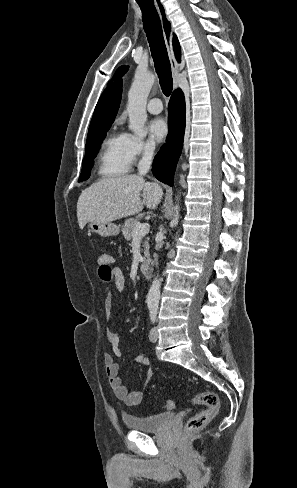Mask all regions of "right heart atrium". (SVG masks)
Here are the masks:
<instances>
[{"label":"right heart atrium","instance_id":"obj_1","mask_svg":"<svg viewBox=\"0 0 297 488\" xmlns=\"http://www.w3.org/2000/svg\"><path fill=\"white\" fill-rule=\"evenodd\" d=\"M123 137L125 152L130 163L153 155L155 146L151 141L143 140L129 133H124Z\"/></svg>","mask_w":297,"mask_h":488}]
</instances>
